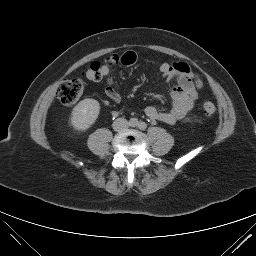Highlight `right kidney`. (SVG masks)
Segmentation results:
<instances>
[{
  "label": "right kidney",
  "instance_id": "1",
  "mask_svg": "<svg viewBox=\"0 0 256 256\" xmlns=\"http://www.w3.org/2000/svg\"><path fill=\"white\" fill-rule=\"evenodd\" d=\"M100 113V104L95 99H84L72 110L71 125L77 131H86L97 120Z\"/></svg>",
  "mask_w": 256,
  "mask_h": 256
}]
</instances>
